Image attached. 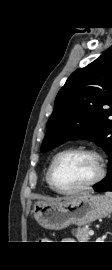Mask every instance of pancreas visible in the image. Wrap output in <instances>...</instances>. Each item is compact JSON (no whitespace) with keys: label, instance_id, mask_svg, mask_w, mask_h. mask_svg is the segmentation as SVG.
<instances>
[{"label":"pancreas","instance_id":"obj_1","mask_svg":"<svg viewBox=\"0 0 112 270\" xmlns=\"http://www.w3.org/2000/svg\"><path fill=\"white\" fill-rule=\"evenodd\" d=\"M73 235L78 239V242H88L89 229L87 227H79L72 231Z\"/></svg>","mask_w":112,"mask_h":270}]
</instances>
